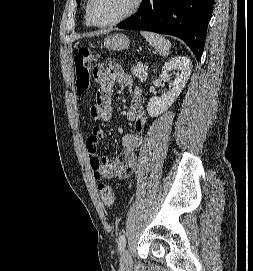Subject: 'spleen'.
<instances>
[{"mask_svg": "<svg viewBox=\"0 0 253 271\" xmlns=\"http://www.w3.org/2000/svg\"><path fill=\"white\" fill-rule=\"evenodd\" d=\"M140 33L160 55H169L171 43L168 39L154 32L141 31Z\"/></svg>", "mask_w": 253, "mask_h": 271, "instance_id": "obj_1", "label": "spleen"}]
</instances>
